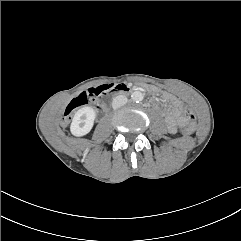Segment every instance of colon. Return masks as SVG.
<instances>
[{"instance_id":"obj_1","label":"colon","mask_w":241,"mask_h":241,"mask_svg":"<svg viewBox=\"0 0 241 241\" xmlns=\"http://www.w3.org/2000/svg\"><path fill=\"white\" fill-rule=\"evenodd\" d=\"M111 89L110 85H100L97 87H92L76 98H74L65 108L62 123H66L71 115L81 106L88 104L91 101L97 100L102 94L106 93ZM184 117L187 120V126L182 128V135L183 136H190L191 132H194L197 128V123L195 119L194 112L190 108H186L184 111Z\"/></svg>"}]
</instances>
